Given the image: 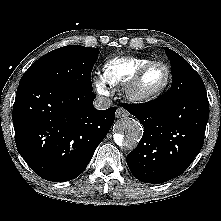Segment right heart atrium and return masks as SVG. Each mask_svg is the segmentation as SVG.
<instances>
[{"label":"right heart atrium","mask_w":221,"mask_h":221,"mask_svg":"<svg viewBox=\"0 0 221 221\" xmlns=\"http://www.w3.org/2000/svg\"><path fill=\"white\" fill-rule=\"evenodd\" d=\"M94 86L96 91L99 94H105L106 93V87H105V83L103 81V79H95L94 80Z\"/></svg>","instance_id":"d8ad5b80"}]
</instances>
